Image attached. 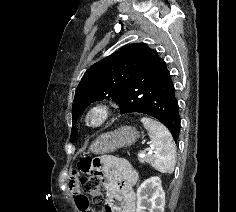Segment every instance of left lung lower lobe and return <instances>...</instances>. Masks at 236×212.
I'll return each mask as SVG.
<instances>
[{
    "instance_id": "0a47b994",
    "label": "left lung lower lobe",
    "mask_w": 236,
    "mask_h": 212,
    "mask_svg": "<svg viewBox=\"0 0 236 212\" xmlns=\"http://www.w3.org/2000/svg\"><path fill=\"white\" fill-rule=\"evenodd\" d=\"M117 104L121 114L143 113L158 119L177 140L180 115L174 83L165 61L155 50L148 48Z\"/></svg>"
}]
</instances>
